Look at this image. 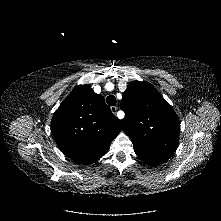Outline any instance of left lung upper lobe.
<instances>
[{
    "mask_svg": "<svg viewBox=\"0 0 221 221\" xmlns=\"http://www.w3.org/2000/svg\"><path fill=\"white\" fill-rule=\"evenodd\" d=\"M123 130L136 155L149 166L168 160L176 150L180 131L177 114L147 82H132L123 94Z\"/></svg>",
    "mask_w": 221,
    "mask_h": 221,
    "instance_id": "1",
    "label": "left lung upper lobe"
}]
</instances>
